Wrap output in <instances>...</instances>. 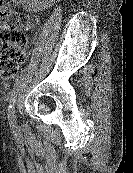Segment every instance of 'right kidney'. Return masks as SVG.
Wrapping results in <instances>:
<instances>
[{
  "mask_svg": "<svg viewBox=\"0 0 133 173\" xmlns=\"http://www.w3.org/2000/svg\"><path fill=\"white\" fill-rule=\"evenodd\" d=\"M49 2H55V0H23V6L25 10L36 11L40 6H47Z\"/></svg>",
  "mask_w": 133,
  "mask_h": 173,
  "instance_id": "ca27d5eb",
  "label": "right kidney"
}]
</instances>
